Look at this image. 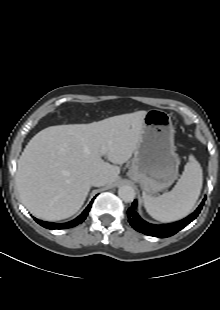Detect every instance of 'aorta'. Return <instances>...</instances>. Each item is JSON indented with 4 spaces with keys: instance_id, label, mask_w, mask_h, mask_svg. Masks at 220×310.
Returning a JSON list of instances; mask_svg holds the SVG:
<instances>
[{
    "instance_id": "aorta-1",
    "label": "aorta",
    "mask_w": 220,
    "mask_h": 310,
    "mask_svg": "<svg viewBox=\"0 0 220 310\" xmlns=\"http://www.w3.org/2000/svg\"><path fill=\"white\" fill-rule=\"evenodd\" d=\"M119 197L126 203L132 202L135 198V190L128 185L121 186L118 189Z\"/></svg>"
}]
</instances>
